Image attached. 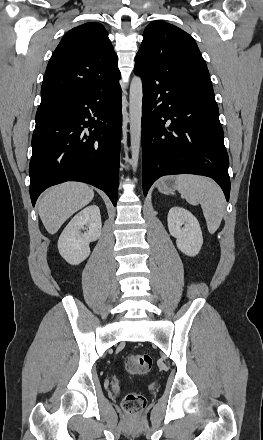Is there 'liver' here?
<instances>
[{"mask_svg": "<svg viewBox=\"0 0 263 440\" xmlns=\"http://www.w3.org/2000/svg\"><path fill=\"white\" fill-rule=\"evenodd\" d=\"M94 191L88 185L67 182L50 188L38 203L39 216L46 230L55 234L75 212L89 204Z\"/></svg>", "mask_w": 263, "mask_h": 440, "instance_id": "1", "label": "liver"}]
</instances>
